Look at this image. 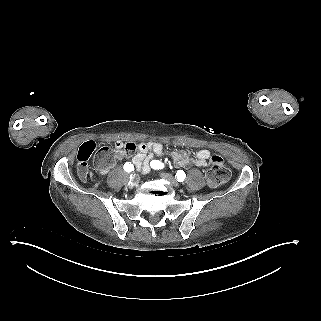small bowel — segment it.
Instances as JSON below:
<instances>
[{"label":"small bowel","instance_id":"obj_1","mask_svg":"<svg viewBox=\"0 0 321 321\" xmlns=\"http://www.w3.org/2000/svg\"><path fill=\"white\" fill-rule=\"evenodd\" d=\"M96 150V143L92 140L83 143L78 151L77 158L82 155L86 156V159L93 154ZM136 153L132 157V163L135 168L142 172L147 173L151 168V162L155 157L164 155L163 145L159 142H142L137 144ZM125 149L124 144L121 141L115 142L114 149L108 147H102L98 154H100L105 161L102 162L99 158L96 159V165L101 175H106L114 167L118 160L131 155ZM211 153L208 150L201 149L193 153H188L184 150H175L169 154L173 163L179 167H204L207 164ZM82 180H86V177H80Z\"/></svg>","mask_w":321,"mask_h":321}]
</instances>
